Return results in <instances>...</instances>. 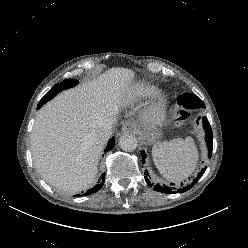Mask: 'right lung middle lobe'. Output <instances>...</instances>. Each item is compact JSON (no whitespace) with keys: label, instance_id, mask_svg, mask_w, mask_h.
Returning a JSON list of instances; mask_svg holds the SVG:
<instances>
[{"label":"right lung middle lobe","instance_id":"dd1d6c3e","mask_svg":"<svg viewBox=\"0 0 248 248\" xmlns=\"http://www.w3.org/2000/svg\"><path fill=\"white\" fill-rule=\"evenodd\" d=\"M79 81L72 80V79H66L63 82L55 85L47 94L44 95V97L41 99L39 103L44 104L50 99H52L56 94L61 92L62 90L74 87L78 84Z\"/></svg>","mask_w":248,"mask_h":248}]
</instances>
